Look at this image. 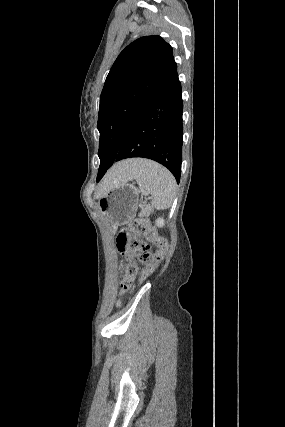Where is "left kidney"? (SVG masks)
<instances>
[{
  "mask_svg": "<svg viewBox=\"0 0 285 427\" xmlns=\"http://www.w3.org/2000/svg\"><path fill=\"white\" fill-rule=\"evenodd\" d=\"M164 224H165V221H164V219H163L162 217H159V218L156 220V226H158V227H163V226H164Z\"/></svg>",
  "mask_w": 285,
  "mask_h": 427,
  "instance_id": "5707ae66",
  "label": "left kidney"
}]
</instances>
